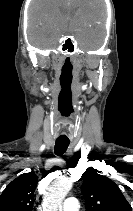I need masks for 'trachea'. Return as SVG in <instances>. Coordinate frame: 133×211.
Instances as JSON below:
<instances>
[{"label": "trachea", "instance_id": "obj_1", "mask_svg": "<svg viewBox=\"0 0 133 211\" xmlns=\"http://www.w3.org/2000/svg\"><path fill=\"white\" fill-rule=\"evenodd\" d=\"M68 145H69V141L57 140L55 143V148H54L55 154L60 156L63 153H65L68 148Z\"/></svg>", "mask_w": 133, "mask_h": 211}]
</instances>
